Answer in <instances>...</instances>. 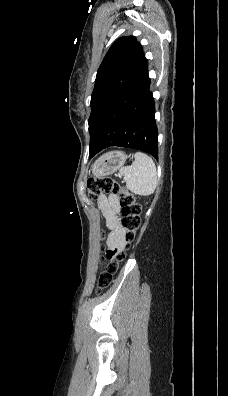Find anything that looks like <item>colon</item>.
Wrapping results in <instances>:
<instances>
[{
	"label": "colon",
	"instance_id": "obj_1",
	"mask_svg": "<svg viewBox=\"0 0 228 396\" xmlns=\"http://www.w3.org/2000/svg\"><path fill=\"white\" fill-rule=\"evenodd\" d=\"M89 196L96 199L102 193H112L119 197L121 211V227L124 231L125 246H129L136 238L139 227L140 206L135 202L134 197L115 179L111 177L89 178L87 180ZM105 257L108 264L99 278V286L106 288L118 268V262L124 258L121 249L109 248Z\"/></svg>",
	"mask_w": 228,
	"mask_h": 396
}]
</instances>
